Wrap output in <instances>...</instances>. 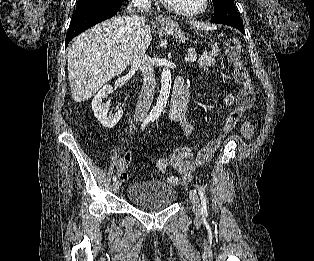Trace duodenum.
I'll list each match as a JSON object with an SVG mask.
<instances>
[{"label": "duodenum", "instance_id": "obj_1", "mask_svg": "<svg viewBox=\"0 0 314 261\" xmlns=\"http://www.w3.org/2000/svg\"><path fill=\"white\" fill-rule=\"evenodd\" d=\"M189 102V92L182 78H178L174 84L173 93L169 105L170 115L184 112Z\"/></svg>", "mask_w": 314, "mask_h": 261}]
</instances>
